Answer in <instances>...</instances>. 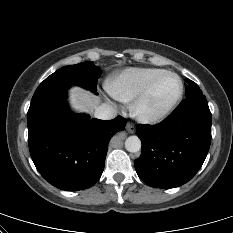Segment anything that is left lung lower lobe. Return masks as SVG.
Returning a JSON list of instances; mask_svg holds the SVG:
<instances>
[{
  "mask_svg": "<svg viewBox=\"0 0 233 233\" xmlns=\"http://www.w3.org/2000/svg\"><path fill=\"white\" fill-rule=\"evenodd\" d=\"M138 176L154 188L187 183L201 168L211 143V112L203 94L188 97L163 122L138 125Z\"/></svg>",
  "mask_w": 233,
  "mask_h": 233,
  "instance_id": "obj_1",
  "label": "left lung lower lobe"
}]
</instances>
